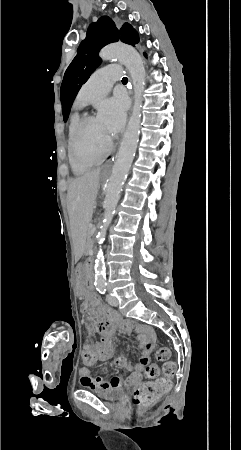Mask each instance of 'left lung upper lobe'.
Wrapping results in <instances>:
<instances>
[{
  "mask_svg": "<svg viewBox=\"0 0 241 450\" xmlns=\"http://www.w3.org/2000/svg\"><path fill=\"white\" fill-rule=\"evenodd\" d=\"M119 40L126 44L135 45L139 42V37L129 23H124L118 29L108 16H103L96 23L90 24L86 39L80 44L77 55L66 69L62 81L60 97L65 122L82 84L88 80L101 63L98 52L105 45Z\"/></svg>",
  "mask_w": 241,
  "mask_h": 450,
  "instance_id": "5c2ea615",
  "label": "left lung upper lobe"
}]
</instances>
